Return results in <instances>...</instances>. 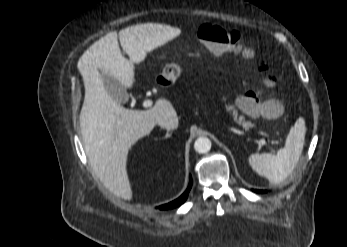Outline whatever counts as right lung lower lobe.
Returning a JSON list of instances; mask_svg holds the SVG:
<instances>
[{"instance_id": "right-lung-lower-lobe-1", "label": "right lung lower lobe", "mask_w": 347, "mask_h": 247, "mask_svg": "<svg viewBox=\"0 0 347 247\" xmlns=\"http://www.w3.org/2000/svg\"><path fill=\"white\" fill-rule=\"evenodd\" d=\"M191 186H192V178L190 177V182H189V186H188L187 190L178 199H176V200H174L168 204L159 206V209L166 210V209H171V208H174V207L181 205L187 199L188 193L191 189Z\"/></svg>"}]
</instances>
